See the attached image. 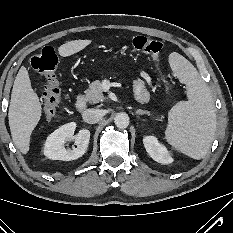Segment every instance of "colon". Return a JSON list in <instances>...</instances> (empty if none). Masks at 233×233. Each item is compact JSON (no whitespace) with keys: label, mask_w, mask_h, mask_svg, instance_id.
I'll return each instance as SVG.
<instances>
[{"label":"colon","mask_w":233,"mask_h":233,"mask_svg":"<svg viewBox=\"0 0 233 233\" xmlns=\"http://www.w3.org/2000/svg\"><path fill=\"white\" fill-rule=\"evenodd\" d=\"M135 50L150 54L158 60L163 44L154 39L137 36L132 40ZM58 57L53 47L46 46L39 55L31 58V67L41 74L44 80L42 107L45 117L49 120L55 114L61 102V88L56 75Z\"/></svg>","instance_id":"colon-1"}]
</instances>
